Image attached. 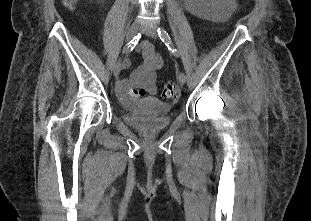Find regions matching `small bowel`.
<instances>
[{"instance_id":"1","label":"small bowel","mask_w":311,"mask_h":221,"mask_svg":"<svg viewBox=\"0 0 311 221\" xmlns=\"http://www.w3.org/2000/svg\"><path fill=\"white\" fill-rule=\"evenodd\" d=\"M138 51L142 56L141 64L130 73L128 78L119 83L123 94H126L130 87L143 88L149 94L156 91V72L162 67V57L150 42L140 44Z\"/></svg>"}]
</instances>
